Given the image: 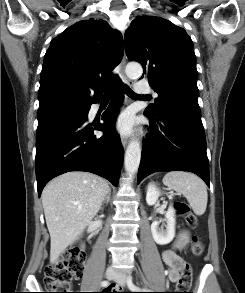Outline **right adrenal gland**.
Masks as SVG:
<instances>
[{"label":"right adrenal gland","instance_id":"right-adrenal-gland-1","mask_svg":"<svg viewBox=\"0 0 245 293\" xmlns=\"http://www.w3.org/2000/svg\"><path fill=\"white\" fill-rule=\"evenodd\" d=\"M110 196H111V190H109V192H108L106 198H105L104 201H103V204L108 203V202L110 201Z\"/></svg>","mask_w":245,"mask_h":293}]
</instances>
